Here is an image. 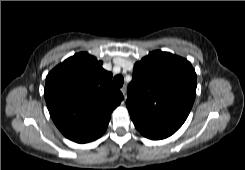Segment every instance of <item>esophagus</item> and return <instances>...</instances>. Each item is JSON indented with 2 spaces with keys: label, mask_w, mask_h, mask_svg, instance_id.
<instances>
[{
  "label": "esophagus",
  "mask_w": 245,
  "mask_h": 170,
  "mask_svg": "<svg viewBox=\"0 0 245 170\" xmlns=\"http://www.w3.org/2000/svg\"><path fill=\"white\" fill-rule=\"evenodd\" d=\"M120 90H121L123 96L125 97V95H126V86H123Z\"/></svg>",
  "instance_id": "1"
}]
</instances>
